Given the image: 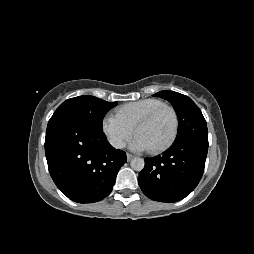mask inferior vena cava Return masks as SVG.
<instances>
[{"label": "inferior vena cava", "mask_w": 254, "mask_h": 254, "mask_svg": "<svg viewBox=\"0 0 254 254\" xmlns=\"http://www.w3.org/2000/svg\"><path fill=\"white\" fill-rule=\"evenodd\" d=\"M111 145L117 149H121L125 146V143L121 140H111Z\"/></svg>", "instance_id": "inferior-vena-cava-1"}]
</instances>
